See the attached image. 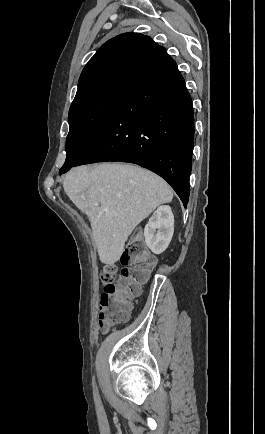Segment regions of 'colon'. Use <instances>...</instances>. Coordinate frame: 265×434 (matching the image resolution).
Instances as JSON below:
<instances>
[{
	"label": "colon",
	"mask_w": 265,
	"mask_h": 434,
	"mask_svg": "<svg viewBox=\"0 0 265 434\" xmlns=\"http://www.w3.org/2000/svg\"><path fill=\"white\" fill-rule=\"evenodd\" d=\"M143 249L141 240L135 236L125 247L119 268L115 265L104 266L100 274L105 290L101 296V307L104 310H100L98 314L107 318L100 319V326L96 330L98 335H107L108 327H118L119 322L127 321L125 312L129 304L124 298L139 296L142 286L148 282L155 260L152 255L145 254Z\"/></svg>",
	"instance_id": "5ec220e1"
}]
</instances>
